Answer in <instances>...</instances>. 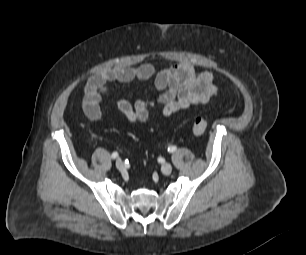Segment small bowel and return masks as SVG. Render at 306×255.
Segmentation results:
<instances>
[{
    "label": "small bowel",
    "instance_id": "obj_1",
    "mask_svg": "<svg viewBox=\"0 0 306 255\" xmlns=\"http://www.w3.org/2000/svg\"><path fill=\"white\" fill-rule=\"evenodd\" d=\"M151 78H154V88L158 92L155 100L141 99L132 103L122 98L117 103L118 110L130 124L146 123L150 110L155 106H160L162 115L169 117L192 105L205 104L218 90L211 71L198 73L189 63H178L158 72L150 63L136 67H114L88 79L83 99L85 116L92 122L103 119L100 103L112 83L127 84Z\"/></svg>",
    "mask_w": 306,
    "mask_h": 255
}]
</instances>
